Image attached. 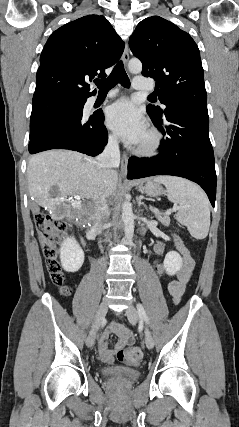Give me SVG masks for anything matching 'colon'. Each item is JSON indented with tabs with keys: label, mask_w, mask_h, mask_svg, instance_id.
<instances>
[{
	"label": "colon",
	"mask_w": 239,
	"mask_h": 427,
	"mask_svg": "<svg viewBox=\"0 0 239 427\" xmlns=\"http://www.w3.org/2000/svg\"><path fill=\"white\" fill-rule=\"evenodd\" d=\"M35 224L39 233L43 253L47 258V267L54 284L59 286L61 293L64 296L70 294V288L65 285V277L61 271L57 260V244L59 236L66 230V225L63 222L52 219L50 216L40 213L35 216ZM154 250L159 255V262L155 263V275L166 276V247L164 241L154 243ZM143 356V350L140 347H132L121 349L118 352V359L121 362L135 366L139 364Z\"/></svg>",
	"instance_id": "1"
}]
</instances>
